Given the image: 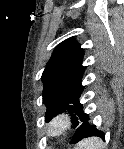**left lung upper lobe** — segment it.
<instances>
[{"label":"left lung upper lobe","instance_id":"left-lung-upper-lobe-1","mask_svg":"<svg viewBox=\"0 0 124 149\" xmlns=\"http://www.w3.org/2000/svg\"><path fill=\"white\" fill-rule=\"evenodd\" d=\"M84 50L79 43L69 38L60 43L54 50L42 74L43 103L47 107L45 121L66 110L78 114L82 122L88 115L82 111L80 96L85 67L82 65ZM76 128L78 122L73 118Z\"/></svg>","mask_w":124,"mask_h":149}]
</instances>
